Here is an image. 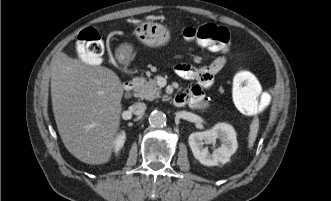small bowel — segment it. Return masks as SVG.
Instances as JSON below:
<instances>
[{"instance_id": "small-bowel-1", "label": "small bowel", "mask_w": 331, "mask_h": 201, "mask_svg": "<svg viewBox=\"0 0 331 201\" xmlns=\"http://www.w3.org/2000/svg\"><path fill=\"white\" fill-rule=\"evenodd\" d=\"M227 58L220 56L215 58L209 65L203 67H194L189 64H178L175 66V72L178 76L195 81L184 92L178 94L182 99V105L189 104L192 107H198L204 97V89L209 88L215 75L224 67Z\"/></svg>"}]
</instances>
